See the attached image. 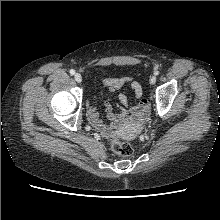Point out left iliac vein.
Returning <instances> with one entry per match:
<instances>
[{"label":"left iliac vein","instance_id":"1","mask_svg":"<svg viewBox=\"0 0 220 220\" xmlns=\"http://www.w3.org/2000/svg\"><path fill=\"white\" fill-rule=\"evenodd\" d=\"M156 82V76H152L151 78H150V83L151 84H154Z\"/></svg>","mask_w":220,"mask_h":220}]
</instances>
